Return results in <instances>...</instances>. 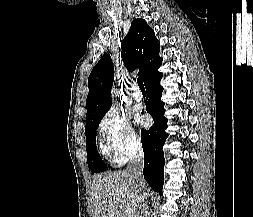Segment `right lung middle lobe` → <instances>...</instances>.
I'll return each instance as SVG.
<instances>
[{
  "mask_svg": "<svg viewBox=\"0 0 253 217\" xmlns=\"http://www.w3.org/2000/svg\"><path fill=\"white\" fill-rule=\"evenodd\" d=\"M103 116L104 114L87 121L85 126L87 162L93 173L102 172L106 169V164L102 161L96 148V129Z\"/></svg>",
  "mask_w": 253,
  "mask_h": 217,
  "instance_id": "obj_1",
  "label": "right lung middle lobe"
}]
</instances>
